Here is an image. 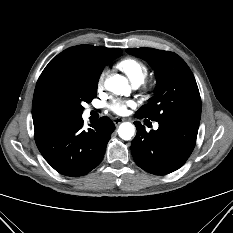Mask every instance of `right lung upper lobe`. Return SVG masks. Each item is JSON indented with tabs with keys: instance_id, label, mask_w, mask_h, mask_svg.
I'll return each mask as SVG.
<instances>
[{
	"instance_id": "right-lung-upper-lobe-1",
	"label": "right lung upper lobe",
	"mask_w": 233,
	"mask_h": 233,
	"mask_svg": "<svg viewBox=\"0 0 233 233\" xmlns=\"http://www.w3.org/2000/svg\"><path fill=\"white\" fill-rule=\"evenodd\" d=\"M113 49L115 48L78 45L64 50L49 62L40 75L34 92L32 117L35 132L69 117L57 98V89L62 80L76 72L97 73L101 63Z\"/></svg>"
}]
</instances>
